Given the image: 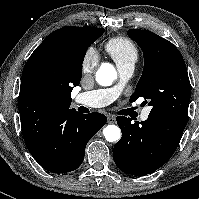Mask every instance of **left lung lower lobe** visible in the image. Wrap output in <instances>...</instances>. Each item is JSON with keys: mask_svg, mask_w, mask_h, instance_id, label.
Here are the masks:
<instances>
[{"mask_svg": "<svg viewBox=\"0 0 199 199\" xmlns=\"http://www.w3.org/2000/svg\"><path fill=\"white\" fill-rule=\"evenodd\" d=\"M122 138L114 145L113 158L125 173L143 176L153 173L174 154L187 122L163 113H151L148 119L131 123L118 116Z\"/></svg>", "mask_w": 199, "mask_h": 199, "instance_id": "1", "label": "left lung lower lobe"}]
</instances>
